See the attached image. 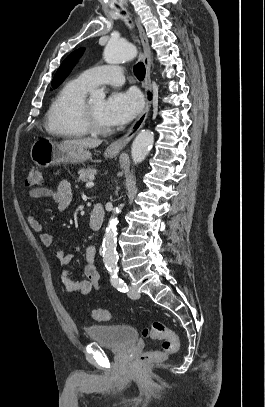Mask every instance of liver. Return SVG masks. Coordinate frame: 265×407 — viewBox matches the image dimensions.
Here are the masks:
<instances>
[{
  "instance_id": "1",
  "label": "liver",
  "mask_w": 265,
  "mask_h": 407,
  "mask_svg": "<svg viewBox=\"0 0 265 407\" xmlns=\"http://www.w3.org/2000/svg\"><path fill=\"white\" fill-rule=\"evenodd\" d=\"M102 143L101 140L99 139H92V138H87V139H78V140H66L63 141L62 144L64 145H74V146H80L84 148H96Z\"/></svg>"
}]
</instances>
